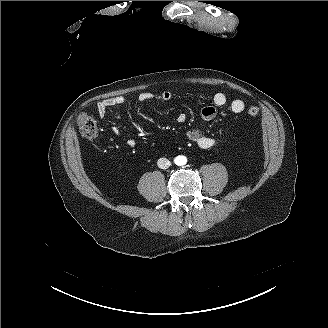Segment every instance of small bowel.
<instances>
[{
    "instance_id": "c3829d8e",
    "label": "small bowel",
    "mask_w": 328,
    "mask_h": 328,
    "mask_svg": "<svg viewBox=\"0 0 328 328\" xmlns=\"http://www.w3.org/2000/svg\"><path fill=\"white\" fill-rule=\"evenodd\" d=\"M172 93L170 91H162L159 93L156 92H142L138 95L139 102H149V101H167L171 99ZM199 99H206L208 96L204 93L197 95ZM211 100L214 105L204 107L200 112V119L202 122H208L214 119L217 115V107L224 106L228 103L227 96L224 93L218 92L211 96ZM126 103V98L123 96H117L112 98H107L100 101L96 110L100 117H104L107 111L111 108L122 106ZM229 107L232 112L240 113L245 109V103L241 99H234L230 102ZM178 122H185L187 115L184 112H181L177 115ZM112 132L115 135L119 134V129L117 127L112 128ZM186 138L196 143L201 149H210L214 146L215 140L204 133L201 127H194L188 130L185 134ZM127 146L134 147L136 142L134 139H128L126 141Z\"/></svg>"
}]
</instances>
